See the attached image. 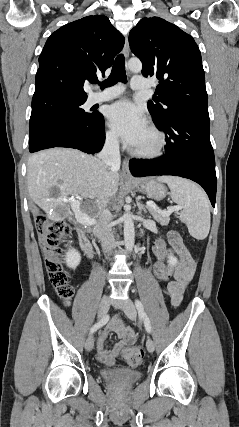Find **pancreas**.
Returning a JSON list of instances; mask_svg holds the SVG:
<instances>
[{
    "mask_svg": "<svg viewBox=\"0 0 239 427\" xmlns=\"http://www.w3.org/2000/svg\"><path fill=\"white\" fill-rule=\"evenodd\" d=\"M148 210L152 215V217L154 218V220H156L158 223H160L163 226H166L169 224V221H170L169 216H163L162 214L157 212L155 209H152L150 207H148Z\"/></svg>",
    "mask_w": 239,
    "mask_h": 427,
    "instance_id": "cf45deb5",
    "label": "pancreas"
}]
</instances>
